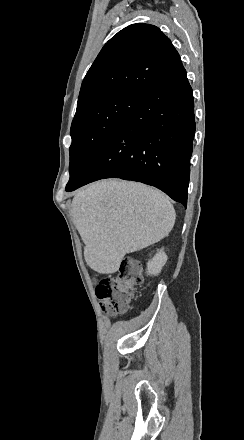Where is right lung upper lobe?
Listing matches in <instances>:
<instances>
[{
    "instance_id": "cb5924a9",
    "label": "right lung upper lobe",
    "mask_w": 244,
    "mask_h": 440,
    "mask_svg": "<svg viewBox=\"0 0 244 440\" xmlns=\"http://www.w3.org/2000/svg\"><path fill=\"white\" fill-rule=\"evenodd\" d=\"M182 66L178 52L158 27L129 25L100 51L82 82L77 105L121 94L142 97Z\"/></svg>"
}]
</instances>
